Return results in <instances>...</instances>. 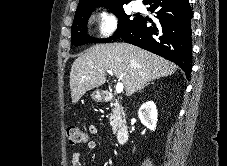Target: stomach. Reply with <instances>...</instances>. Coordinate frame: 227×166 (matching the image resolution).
I'll list each match as a JSON object with an SVG mask.
<instances>
[{
	"instance_id": "stomach-1",
	"label": "stomach",
	"mask_w": 227,
	"mask_h": 166,
	"mask_svg": "<svg viewBox=\"0 0 227 166\" xmlns=\"http://www.w3.org/2000/svg\"><path fill=\"white\" fill-rule=\"evenodd\" d=\"M91 98L96 102H102V101H104L105 93H104V91L99 90V89L94 90L91 95Z\"/></svg>"
}]
</instances>
